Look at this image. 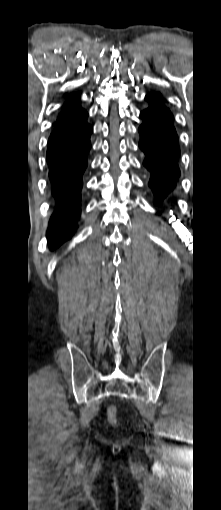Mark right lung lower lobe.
Segmentation results:
<instances>
[{"instance_id":"obj_1","label":"right lung lower lobe","mask_w":221,"mask_h":510,"mask_svg":"<svg viewBox=\"0 0 221 510\" xmlns=\"http://www.w3.org/2000/svg\"><path fill=\"white\" fill-rule=\"evenodd\" d=\"M93 128L86 121L72 131L51 134L48 139L47 163L55 210L51 216L47 238L50 249L68 240L80 216L82 175L87 167Z\"/></svg>"}]
</instances>
